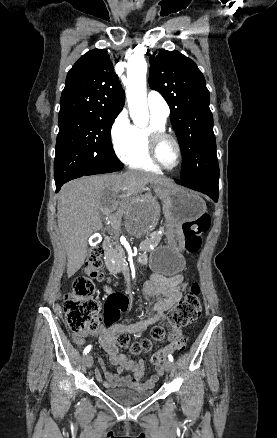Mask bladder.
<instances>
[{"mask_svg": "<svg viewBox=\"0 0 277 438\" xmlns=\"http://www.w3.org/2000/svg\"><path fill=\"white\" fill-rule=\"evenodd\" d=\"M107 398L117 404L125 406H134L148 399L153 391L147 390H130L125 388H107L104 391Z\"/></svg>", "mask_w": 277, "mask_h": 438, "instance_id": "bladder-1", "label": "bladder"}]
</instances>
